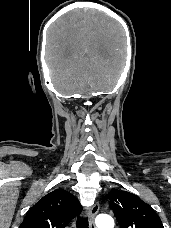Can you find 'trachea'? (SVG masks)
<instances>
[{
	"label": "trachea",
	"mask_w": 171,
	"mask_h": 228,
	"mask_svg": "<svg viewBox=\"0 0 171 228\" xmlns=\"http://www.w3.org/2000/svg\"><path fill=\"white\" fill-rule=\"evenodd\" d=\"M77 228H88V220L86 218L77 219Z\"/></svg>",
	"instance_id": "trachea-1"
}]
</instances>
